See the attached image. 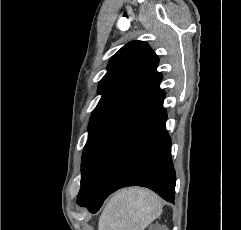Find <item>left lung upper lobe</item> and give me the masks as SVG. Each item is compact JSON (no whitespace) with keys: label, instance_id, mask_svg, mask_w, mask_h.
Segmentation results:
<instances>
[{"label":"left lung upper lobe","instance_id":"obj_1","mask_svg":"<svg viewBox=\"0 0 241 230\" xmlns=\"http://www.w3.org/2000/svg\"><path fill=\"white\" fill-rule=\"evenodd\" d=\"M159 59L143 41H133L117 51L98 86L102 97L89 122V138L82 154L81 187L87 168L99 149L138 116L162 91ZM81 189L78 195L80 197Z\"/></svg>","mask_w":241,"mask_h":230}]
</instances>
